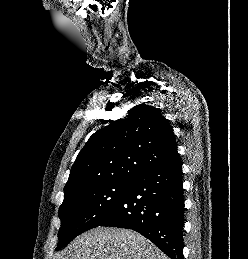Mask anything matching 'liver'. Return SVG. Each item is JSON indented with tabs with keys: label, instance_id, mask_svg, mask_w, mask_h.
Segmentation results:
<instances>
[{
	"label": "liver",
	"instance_id": "1",
	"mask_svg": "<svg viewBox=\"0 0 248 259\" xmlns=\"http://www.w3.org/2000/svg\"><path fill=\"white\" fill-rule=\"evenodd\" d=\"M59 259H169L141 234L98 227L78 236Z\"/></svg>",
	"mask_w": 248,
	"mask_h": 259
}]
</instances>
